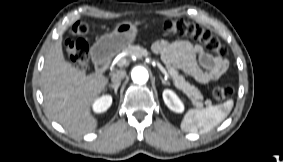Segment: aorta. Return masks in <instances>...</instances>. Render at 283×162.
Segmentation results:
<instances>
[{"mask_svg": "<svg viewBox=\"0 0 283 162\" xmlns=\"http://www.w3.org/2000/svg\"><path fill=\"white\" fill-rule=\"evenodd\" d=\"M132 80L137 84H144L148 81V71L141 66L135 67L131 72Z\"/></svg>", "mask_w": 283, "mask_h": 162, "instance_id": "1", "label": "aorta"}]
</instances>
